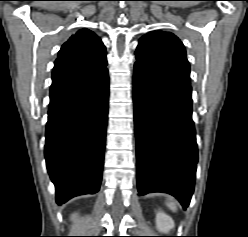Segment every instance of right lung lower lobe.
<instances>
[{"label": "right lung lower lobe", "mask_w": 248, "mask_h": 237, "mask_svg": "<svg viewBox=\"0 0 248 237\" xmlns=\"http://www.w3.org/2000/svg\"><path fill=\"white\" fill-rule=\"evenodd\" d=\"M106 66L52 81L45 158L56 202L99 191L108 114Z\"/></svg>", "instance_id": "1"}]
</instances>
